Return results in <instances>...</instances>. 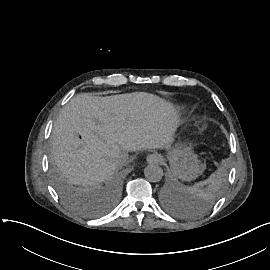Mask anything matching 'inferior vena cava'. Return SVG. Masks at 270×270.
I'll use <instances>...</instances> for the list:
<instances>
[{
    "mask_svg": "<svg viewBox=\"0 0 270 270\" xmlns=\"http://www.w3.org/2000/svg\"><path fill=\"white\" fill-rule=\"evenodd\" d=\"M118 158L121 159L123 163H126L129 160V155L127 153H119Z\"/></svg>",
    "mask_w": 270,
    "mask_h": 270,
    "instance_id": "1",
    "label": "inferior vena cava"
}]
</instances>
